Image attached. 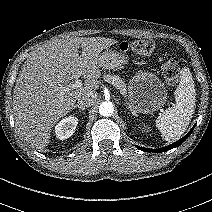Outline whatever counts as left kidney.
<instances>
[{
	"mask_svg": "<svg viewBox=\"0 0 212 212\" xmlns=\"http://www.w3.org/2000/svg\"><path fill=\"white\" fill-rule=\"evenodd\" d=\"M142 126V125H141ZM144 127H142V129H144V131L149 132L150 131V127L143 125Z\"/></svg>",
	"mask_w": 212,
	"mask_h": 212,
	"instance_id": "obj_1",
	"label": "left kidney"
}]
</instances>
